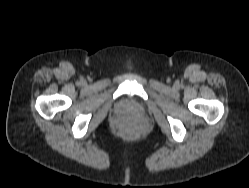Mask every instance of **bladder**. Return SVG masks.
<instances>
[{
    "mask_svg": "<svg viewBox=\"0 0 249 188\" xmlns=\"http://www.w3.org/2000/svg\"><path fill=\"white\" fill-rule=\"evenodd\" d=\"M141 110V105L136 102L124 101L120 104V111L126 114L137 115Z\"/></svg>",
    "mask_w": 249,
    "mask_h": 188,
    "instance_id": "bladder-1",
    "label": "bladder"
}]
</instances>
